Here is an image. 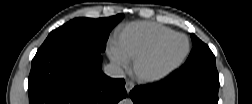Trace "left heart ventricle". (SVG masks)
<instances>
[{
  "mask_svg": "<svg viewBox=\"0 0 252 104\" xmlns=\"http://www.w3.org/2000/svg\"><path fill=\"white\" fill-rule=\"evenodd\" d=\"M186 49V39L184 37H175L169 41L165 47L155 56L144 62L143 68L152 70L163 63L177 59Z\"/></svg>",
  "mask_w": 252,
  "mask_h": 104,
  "instance_id": "obj_1",
  "label": "left heart ventricle"
}]
</instances>
